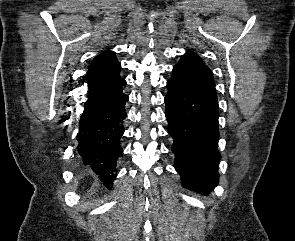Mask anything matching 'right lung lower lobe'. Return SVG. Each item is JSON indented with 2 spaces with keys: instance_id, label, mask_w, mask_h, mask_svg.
Returning <instances> with one entry per match:
<instances>
[{
  "instance_id": "right-lung-lower-lobe-1",
  "label": "right lung lower lobe",
  "mask_w": 295,
  "mask_h": 241,
  "mask_svg": "<svg viewBox=\"0 0 295 241\" xmlns=\"http://www.w3.org/2000/svg\"><path fill=\"white\" fill-rule=\"evenodd\" d=\"M125 85L123 80L117 85L88 92L76 137L77 151L83 163L99 175L108 189L112 186L117 160L123 152L120 138L124 133L125 104L128 101Z\"/></svg>"
}]
</instances>
